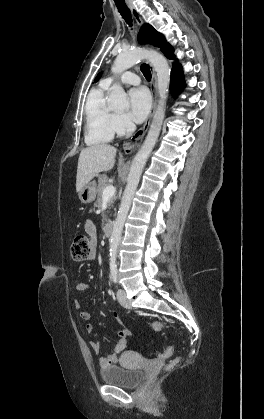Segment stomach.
Masks as SVG:
<instances>
[{
    "instance_id": "0dacf381",
    "label": "stomach",
    "mask_w": 264,
    "mask_h": 419,
    "mask_svg": "<svg viewBox=\"0 0 264 419\" xmlns=\"http://www.w3.org/2000/svg\"><path fill=\"white\" fill-rule=\"evenodd\" d=\"M97 194L96 183L94 181L86 184L78 193L82 203L88 204L95 200Z\"/></svg>"
}]
</instances>
